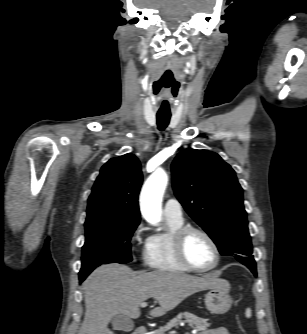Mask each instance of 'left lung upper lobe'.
Instances as JSON below:
<instances>
[{
	"instance_id": "5c2ea615",
	"label": "left lung upper lobe",
	"mask_w": 307,
	"mask_h": 334,
	"mask_svg": "<svg viewBox=\"0 0 307 334\" xmlns=\"http://www.w3.org/2000/svg\"><path fill=\"white\" fill-rule=\"evenodd\" d=\"M173 189L187 213L225 256L256 267L242 188L235 171L215 152L185 149L172 163Z\"/></svg>"
}]
</instances>
